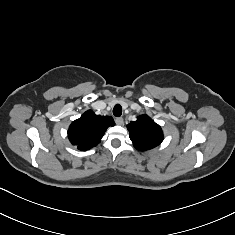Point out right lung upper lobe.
Listing matches in <instances>:
<instances>
[{
    "instance_id": "cb5924a9",
    "label": "right lung upper lobe",
    "mask_w": 235,
    "mask_h": 235,
    "mask_svg": "<svg viewBox=\"0 0 235 235\" xmlns=\"http://www.w3.org/2000/svg\"><path fill=\"white\" fill-rule=\"evenodd\" d=\"M114 125L112 117L96 115L93 111L88 110L79 119L72 122L68 130V137L78 149L88 150L100 143L106 129Z\"/></svg>"
}]
</instances>
